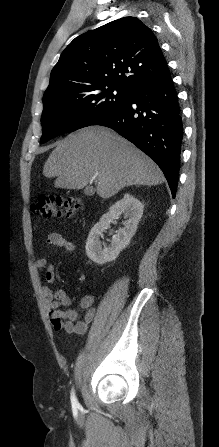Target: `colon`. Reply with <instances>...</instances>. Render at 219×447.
Listing matches in <instances>:
<instances>
[{
    "mask_svg": "<svg viewBox=\"0 0 219 447\" xmlns=\"http://www.w3.org/2000/svg\"><path fill=\"white\" fill-rule=\"evenodd\" d=\"M83 208V202L79 198H63L54 196H40L32 204V212L40 217L71 218Z\"/></svg>",
    "mask_w": 219,
    "mask_h": 447,
    "instance_id": "obj_1",
    "label": "colon"
}]
</instances>
